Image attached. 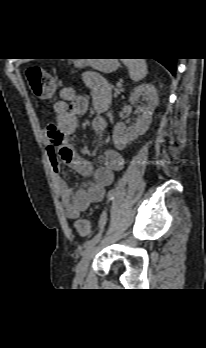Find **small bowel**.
<instances>
[{"instance_id": "c3829d8e", "label": "small bowel", "mask_w": 206, "mask_h": 348, "mask_svg": "<svg viewBox=\"0 0 206 348\" xmlns=\"http://www.w3.org/2000/svg\"><path fill=\"white\" fill-rule=\"evenodd\" d=\"M82 80L90 90L93 109L98 113L104 112L111 100L110 84L95 72L83 73ZM59 96L60 99L53 107L55 119L47 125L45 131L46 153L55 175L56 189L64 206L65 215L68 219L75 220L91 204L103 200L106 187L112 183L114 173L124 167L125 161L118 151L109 149L103 154V165L92 170L89 162L75 153L69 141V137L78 128L77 117L89 109V97L79 94L72 85L63 86ZM91 128L95 134L103 135L107 129L105 118L101 115L94 117ZM62 162L72 166L81 174L92 173L94 181L73 193L67 181L61 176Z\"/></svg>"}]
</instances>
